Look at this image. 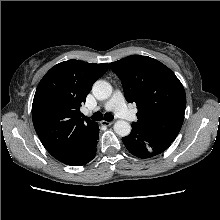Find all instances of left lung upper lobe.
Segmentation results:
<instances>
[{
	"label": "left lung upper lobe",
	"mask_w": 220,
	"mask_h": 220,
	"mask_svg": "<svg viewBox=\"0 0 220 220\" xmlns=\"http://www.w3.org/2000/svg\"><path fill=\"white\" fill-rule=\"evenodd\" d=\"M122 81L129 103H136L137 122L159 140L173 142L184 121L186 95L175 74L147 56H128L109 64Z\"/></svg>",
	"instance_id": "1"
}]
</instances>
